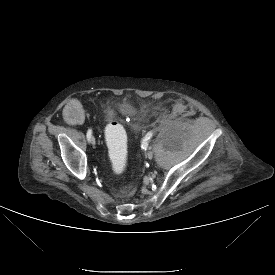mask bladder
Here are the masks:
<instances>
[{
  "mask_svg": "<svg viewBox=\"0 0 275 275\" xmlns=\"http://www.w3.org/2000/svg\"><path fill=\"white\" fill-rule=\"evenodd\" d=\"M132 109V110H136V107L135 105L130 102V101H123V102H120L119 105H118V108H117V112H118V115L122 116V115H126V109Z\"/></svg>",
  "mask_w": 275,
  "mask_h": 275,
  "instance_id": "31cf9c89",
  "label": "bladder"
}]
</instances>
